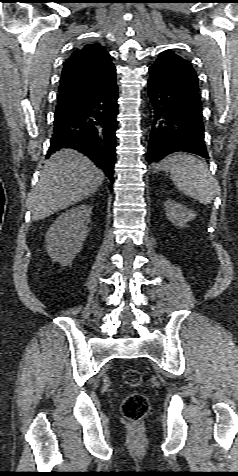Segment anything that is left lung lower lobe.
I'll return each mask as SVG.
<instances>
[{
    "instance_id": "0a47b994",
    "label": "left lung lower lobe",
    "mask_w": 238,
    "mask_h": 476,
    "mask_svg": "<svg viewBox=\"0 0 238 476\" xmlns=\"http://www.w3.org/2000/svg\"><path fill=\"white\" fill-rule=\"evenodd\" d=\"M148 95L154 119L148 141V163L174 152H191L209 159L204 141L200 97L179 89L159 71L149 68Z\"/></svg>"
}]
</instances>
